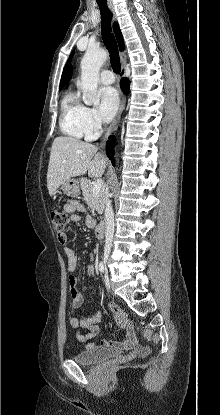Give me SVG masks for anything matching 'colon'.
<instances>
[{
  "instance_id": "1",
  "label": "colon",
  "mask_w": 220,
  "mask_h": 415,
  "mask_svg": "<svg viewBox=\"0 0 220 415\" xmlns=\"http://www.w3.org/2000/svg\"><path fill=\"white\" fill-rule=\"evenodd\" d=\"M69 214L65 211H53L51 214V220L53 223L54 228L57 231V234H61L64 228L67 226L69 222ZM109 309L116 315H121L122 310L117 305L113 303L108 304Z\"/></svg>"
}]
</instances>
